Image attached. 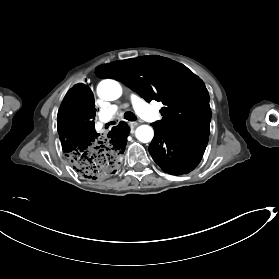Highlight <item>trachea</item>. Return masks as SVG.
<instances>
[{
	"instance_id": "3493384b",
	"label": "trachea",
	"mask_w": 279,
	"mask_h": 279,
	"mask_svg": "<svg viewBox=\"0 0 279 279\" xmlns=\"http://www.w3.org/2000/svg\"><path fill=\"white\" fill-rule=\"evenodd\" d=\"M124 118L126 120H129V121H135L136 120V116L133 112L131 111H127L124 113Z\"/></svg>"
}]
</instances>
